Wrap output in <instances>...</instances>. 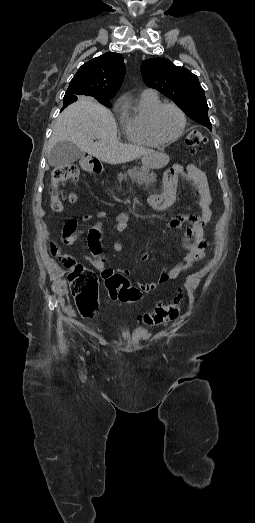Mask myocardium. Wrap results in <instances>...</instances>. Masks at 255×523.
Here are the masks:
<instances>
[{
    "label": "myocardium",
    "instance_id": "f54148a6",
    "mask_svg": "<svg viewBox=\"0 0 255 523\" xmlns=\"http://www.w3.org/2000/svg\"><path fill=\"white\" fill-rule=\"evenodd\" d=\"M165 107L174 108L179 113V115L181 117V121H182L181 128H180L178 134L169 139L160 137L155 129V119H156L158 113L160 112V110H162ZM186 124H187V119H186V115H185L184 111L178 105H176L174 103H169V102H163V103H160L159 105H157L151 111V113L149 115V119H148V128H149V132H150L151 136L154 139H156L158 142L163 143V144H168V143L177 141L183 135L185 128H186Z\"/></svg>",
    "mask_w": 255,
    "mask_h": 523
}]
</instances>
